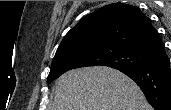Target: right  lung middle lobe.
<instances>
[{"label": "right lung middle lobe", "mask_w": 171, "mask_h": 110, "mask_svg": "<svg viewBox=\"0 0 171 110\" xmlns=\"http://www.w3.org/2000/svg\"><path fill=\"white\" fill-rule=\"evenodd\" d=\"M151 60V55L123 46L91 45L55 54L47 78L50 83L64 72L85 66H108L115 69L139 67Z\"/></svg>", "instance_id": "obj_1"}]
</instances>
